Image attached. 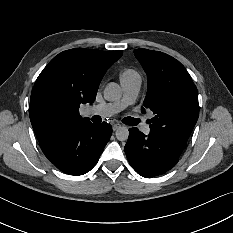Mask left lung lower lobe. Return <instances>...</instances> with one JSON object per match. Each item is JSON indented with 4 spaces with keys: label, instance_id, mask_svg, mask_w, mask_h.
Wrapping results in <instances>:
<instances>
[{
    "label": "left lung lower lobe",
    "instance_id": "obj_1",
    "mask_svg": "<svg viewBox=\"0 0 233 233\" xmlns=\"http://www.w3.org/2000/svg\"><path fill=\"white\" fill-rule=\"evenodd\" d=\"M185 147L184 141L151 133L146 136L131 128L124 150L132 168L139 175L152 178L174 167Z\"/></svg>",
    "mask_w": 233,
    "mask_h": 233
}]
</instances>
